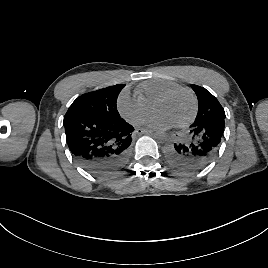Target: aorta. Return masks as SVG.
I'll use <instances>...</instances> for the list:
<instances>
[{"label": "aorta", "mask_w": 268, "mask_h": 268, "mask_svg": "<svg viewBox=\"0 0 268 268\" xmlns=\"http://www.w3.org/2000/svg\"><path fill=\"white\" fill-rule=\"evenodd\" d=\"M154 138L157 142L162 143L166 140L167 135L164 131L159 130L155 133Z\"/></svg>", "instance_id": "762f6f07"}]
</instances>
